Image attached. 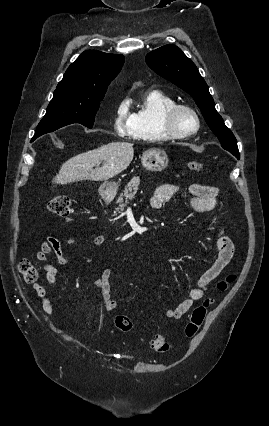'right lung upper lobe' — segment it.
<instances>
[{"label": "right lung upper lobe", "instance_id": "1", "mask_svg": "<svg viewBox=\"0 0 269 426\" xmlns=\"http://www.w3.org/2000/svg\"><path fill=\"white\" fill-rule=\"evenodd\" d=\"M123 63V55L86 50L69 66L54 94L72 99L104 96Z\"/></svg>", "mask_w": 269, "mask_h": 426}]
</instances>
